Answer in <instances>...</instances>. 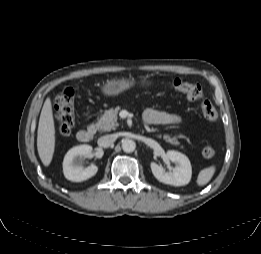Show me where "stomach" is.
<instances>
[{
    "mask_svg": "<svg viewBox=\"0 0 261 254\" xmlns=\"http://www.w3.org/2000/svg\"><path fill=\"white\" fill-rule=\"evenodd\" d=\"M134 86V81L121 78L108 80L102 87V93L105 96H116Z\"/></svg>",
    "mask_w": 261,
    "mask_h": 254,
    "instance_id": "0dacf381",
    "label": "stomach"
}]
</instances>
